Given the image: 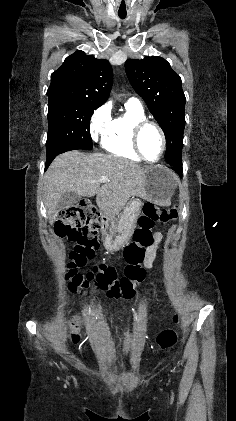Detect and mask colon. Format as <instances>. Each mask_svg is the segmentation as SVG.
Segmentation results:
<instances>
[{"instance_id": "colon-1", "label": "colon", "mask_w": 236, "mask_h": 421, "mask_svg": "<svg viewBox=\"0 0 236 421\" xmlns=\"http://www.w3.org/2000/svg\"><path fill=\"white\" fill-rule=\"evenodd\" d=\"M179 213L177 206L163 208L152 203H145L142 214L138 218V228L134 233V241L125 248L124 255L127 262L125 274L119 277L113 266L100 264L94 266L87 273L77 271L87 261L93 258L99 249L100 224L86 218L83 211L76 207H67L58 213L55 223V232L59 237L66 238L75 243L70 253L68 263V277L71 279V289L78 287L87 288L89 285L106 292L109 298H131L135 287L145 276L141 266L147 258V248L152 247L156 239L152 233L156 223H166L177 218ZM174 321H179L174 317ZM73 343L78 344L80 337L73 334ZM177 334L172 329H166L157 336V343L162 349H168L175 345Z\"/></svg>"}]
</instances>
